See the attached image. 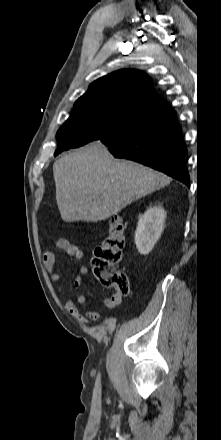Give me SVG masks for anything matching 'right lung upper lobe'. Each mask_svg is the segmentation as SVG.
I'll use <instances>...</instances> for the list:
<instances>
[{
	"label": "right lung upper lobe",
	"instance_id": "right-lung-upper-lobe-1",
	"mask_svg": "<svg viewBox=\"0 0 221 440\" xmlns=\"http://www.w3.org/2000/svg\"><path fill=\"white\" fill-rule=\"evenodd\" d=\"M159 99L147 75L138 70L126 69L94 81L76 102L109 101L120 108L136 112Z\"/></svg>",
	"mask_w": 221,
	"mask_h": 440
}]
</instances>
